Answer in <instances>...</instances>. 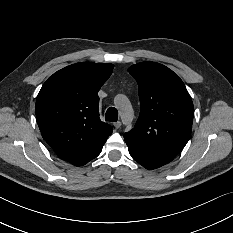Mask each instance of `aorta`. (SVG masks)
<instances>
[{"mask_svg":"<svg viewBox=\"0 0 233 233\" xmlns=\"http://www.w3.org/2000/svg\"><path fill=\"white\" fill-rule=\"evenodd\" d=\"M125 98H126L125 102L122 101V103L124 105L123 108H122V106H119L116 103H115V105L120 109V115H121L122 121L124 123L129 124L133 120L134 112H133L130 101L128 100L127 97H125Z\"/></svg>","mask_w":233,"mask_h":233,"instance_id":"aorta-1","label":"aorta"}]
</instances>
